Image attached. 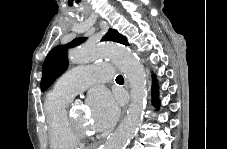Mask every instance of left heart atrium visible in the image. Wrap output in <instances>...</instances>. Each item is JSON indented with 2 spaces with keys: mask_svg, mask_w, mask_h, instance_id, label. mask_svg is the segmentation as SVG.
Here are the masks:
<instances>
[{
  "mask_svg": "<svg viewBox=\"0 0 227 149\" xmlns=\"http://www.w3.org/2000/svg\"><path fill=\"white\" fill-rule=\"evenodd\" d=\"M90 107L93 119L92 127L96 130L110 128L118 117V104L107 90L93 91L90 95Z\"/></svg>",
  "mask_w": 227,
  "mask_h": 149,
  "instance_id": "left-heart-atrium-1",
  "label": "left heart atrium"
}]
</instances>
